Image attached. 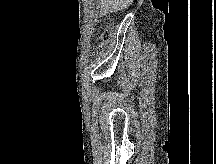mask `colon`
<instances>
[{
    "mask_svg": "<svg viewBox=\"0 0 216 164\" xmlns=\"http://www.w3.org/2000/svg\"><path fill=\"white\" fill-rule=\"evenodd\" d=\"M110 36H111L110 30H105V31L103 32V34H102V40H103L104 42H106V41L109 40ZM100 52H102V47H101V46H99V47L97 48V53H100Z\"/></svg>",
    "mask_w": 216,
    "mask_h": 164,
    "instance_id": "colon-1",
    "label": "colon"
}]
</instances>
